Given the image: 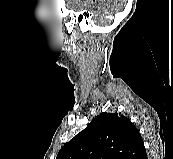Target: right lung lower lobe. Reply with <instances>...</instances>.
Instances as JSON below:
<instances>
[{
    "label": "right lung lower lobe",
    "instance_id": "98d812e1",
    "mask_svg": "<svg viewBox=\"0 0 173 159\" xmlns=\"http://www.w3.org/2000/svg\"><path fill=\"white\" fill-rule=\"evenodd\" d=\"M137 159H147L146 151H144Z\"/></svg>",
    "mask_w": 173,
    "mask_h": 159
}]
</instances>
